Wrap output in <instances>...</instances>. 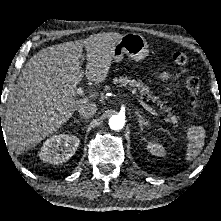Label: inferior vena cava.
I'll list each match as a JSON object with an SVG mask.
<instances>
[{"label": "inferior vena cava", "mask_w": 221, "mask_h": 221, "mask_svg": "<svg viewBox=\"0 0 221 221\" xmlns=\"http://www.w3.org/2000/svg\"><path fill=\"white\" fill-rule=\"evenodd\" d=\"M97 111V106L93 102H87L82 104L79 109V115L82 116L83 118H90L95 115Z\"/></svg>", "instance_id": "602c4592"}]
</instances>
